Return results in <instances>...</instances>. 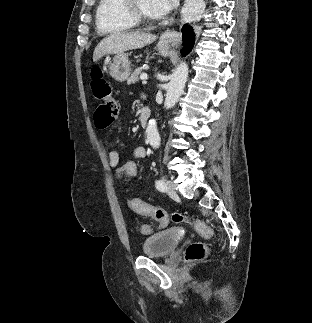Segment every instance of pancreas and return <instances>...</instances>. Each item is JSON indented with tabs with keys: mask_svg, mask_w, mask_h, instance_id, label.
I'll list each match as a JSON object with an SVG mask.
<instances>
[{
	"mask_svg": "<svg viewBox=\"0 0 312 323\" xmlns=\"http://www.w3.org/2000/svg\"><path fill=\"white\" fill-rule=\"evenodd\" d=\"M139 74H143L142 68H138V70H135V72H132L130 78H127V84H136L138 82Z\"/></svg>",
	"mask_w": 312,
	"mask_h": 323,
	"instance_id": "pancreas-1",
	"label": "pancreas"
}]
</instances>
